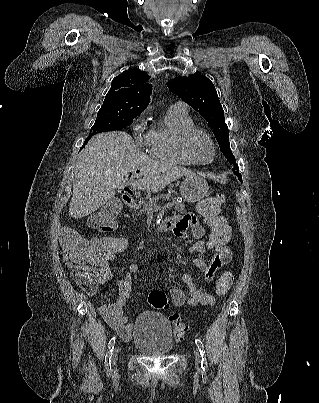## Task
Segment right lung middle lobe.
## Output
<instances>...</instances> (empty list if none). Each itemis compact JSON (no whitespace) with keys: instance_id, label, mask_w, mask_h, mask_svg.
<instances>
[{"instance_id":"obj_1","label":"right lung middle lobe","mask_w":319,"mask_h":403,"mask_svg":"<svg viewBox=\"0 0 319 403\" xmlns=\"http://www.w3.org/2000/svg\"><path fill=\"white\" fill-rule=\"evenodd\" d=\"M142 111L125 105L103 104L97 113V118L91 128V133L126 128L132 124Z\"/></svg>"}]
</instances>
